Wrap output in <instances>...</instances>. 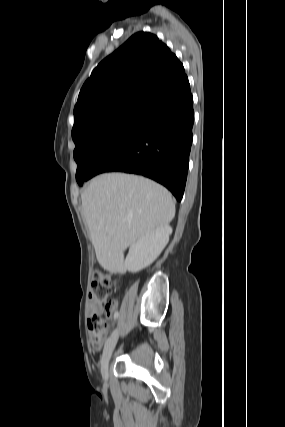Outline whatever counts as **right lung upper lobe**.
Here are the masks:
<instances>
[{"label":"right lung upper lobe","instance_id":"right-lung-upper-lobe-1","mask_svg":"<svg viewBox=\"0 0 285 427\" xmlns=\"http://www.w3.org/2000/svg\"><path fill=\"white\" fill-rule=\"evenodd\" d=\"M184 74L182 63L156 35L134 34L84 83L74 108L72 133L124 107L144 105L157 90Z\"/></svg>","mask_w":285,"mask_h":427}]
</instances>
